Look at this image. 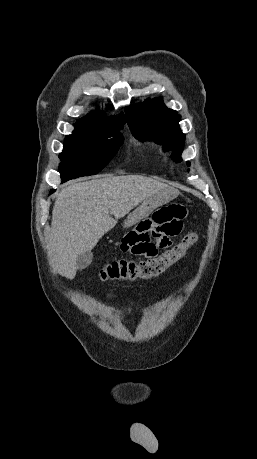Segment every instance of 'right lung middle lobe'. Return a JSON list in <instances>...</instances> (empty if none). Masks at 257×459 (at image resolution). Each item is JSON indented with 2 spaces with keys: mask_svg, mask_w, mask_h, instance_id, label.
Instances as JSON below:
<instances>
[{
  "mask_svg": "<svg viewBox=\"0 0 257 459\" xmlns=\"http://www.w3.org/2000/svg\"><path fill=\"white\" fill-rule=\"evenodd\" d=\"M122 144L120 130L97 132L75 126L73 133L66 137L63 152L59 155V172L63 182L97 174Z\"/></svg>",
  "mask_w": 257,
  "mask_h": 459,
  "instance_id": "obj_1",
  "label": "right lung middle lobe"
}]
</instances>
